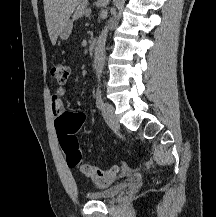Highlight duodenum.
Returning a JSON list of instances; mask_svg holds the SVG:
<instances>
[{"mask_svg": "<svg viewBox=\"0 0 216 217\" xmlns=\"http://www.w3.org/2000/svg\"><path fill=\"white\" fill-rule=\"evenodd\" d=\"M88 50H89L90 55H94L95 50H96V41L95 40H91L89 42Z\"/></svg>", "mask_w": 216, "mask_h": 217, "instance_id": "duodenum-1", "label": "duodenum"}]
</instances>
